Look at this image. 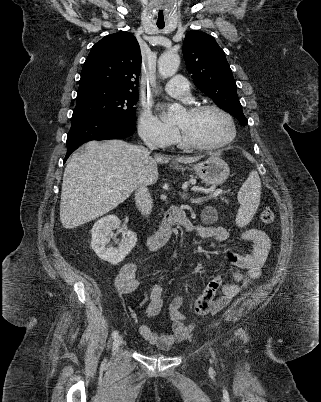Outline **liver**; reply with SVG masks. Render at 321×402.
Here are the masks:
<instances>
[{"instance_id": "1", "label": "liver", "mask_w": 321, "mask_h": 402, "mask_svg": "<svg viewBox=\"0 0 321 402\" xmlns=\"http://www.w3.org/2000/svg\"><path fill=\"white\" fill-rule=\"evenodd\" d=\"M201 157H178L193 163ZM162 154L150 156L148 149L123 140L90 141L72 155L62 183L60 220L72 229L96 219L124 202L139 185L158 180L157 163H168Z\"/></svg>"}]
</instances>
